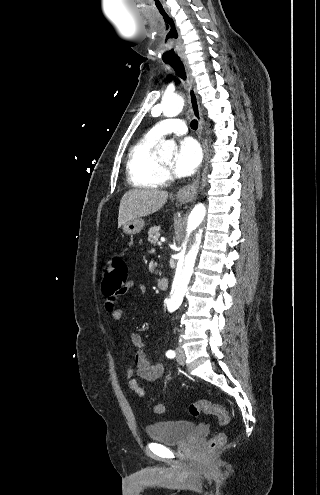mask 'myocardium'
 Returning <instances> with one entry per match:
<instances>
[{"mask_svg": "<svg viewBox=\"0 0 320 495\" xmlns=\"http://www.w3.org/2000/svg\"><path fill=\"white\" fill-rule=\"evenodd\" d=\"M159 164H160V166H161V167H164V168H165V167H167V164L163 163V162H162V161H160V160H159Z\"/></svg>", "mask_w": 320, "mask_h": 495, "instance_id": "f54148a6", "label": "myocardium"}]
</instances>
